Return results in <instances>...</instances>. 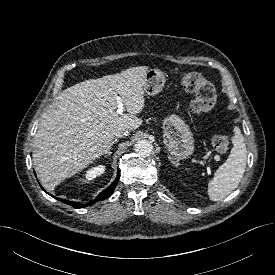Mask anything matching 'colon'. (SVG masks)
<instances>
[{
    "label": "colon",
    "instance_id": "1",
    "mask_svg": "<svg viewBox=\"0 0 275 275\" xmlns=\"http://www.w3.org/2000/svg\"><path fill=\"white\" fill-rule=\"evenodd\" d=\"M183 89L194 94L191 109L196 114L210 111L216 100L213 86L198 72H186L180 78ZM212 146L218 153H224L229 146L228 137L216 135L212 140Z\"/></svg>",
    "mask_w": 275,
    "mask_h": 275
}]
</instances>
